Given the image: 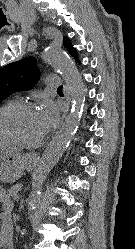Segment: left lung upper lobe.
<instances>
[{"label": "left lung upper lobe", "mask_w": 135, "mask_h": 249, "mask_svg": "<svg viewBox=\"0 0 135 249\" xmlns=\"http://www.w3.org/2000/svg\"><path fill=\"white\" fill-rule=\"evenodd\" d=\"M63 44L80 64L77 50L72 46L70 39L64 36ZM39 76L40 72L34 57H25L1 68L0 103L14 92L31 89L37 83Z\"/></svg>", "instance_id": "obj_1"}]
</instances>
